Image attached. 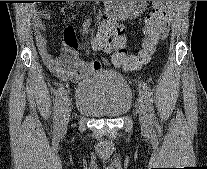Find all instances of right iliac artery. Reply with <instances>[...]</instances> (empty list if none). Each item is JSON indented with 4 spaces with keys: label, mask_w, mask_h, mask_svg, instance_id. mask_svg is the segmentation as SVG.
<instances>
[{
    "label": "right iliac artery",
    "mask_w": 207,
    "mask_h": 169,
    "mask_svg": "<svg viewBox=\"0 0 207 169\" xmlns=\"http://www.w3.org/2000/svg\"><path fill=\"white\" fill-rule=\"evenodd\" d=\"M89 21H87L84 25V31L87 29V25ZM65 97V89L61 85L55 92V104H54V126L59 128L60 126V119L63 111V104Z\"/></svg>",
    "instance_id": "right-iliac-artery-1"
}]
</instances>
